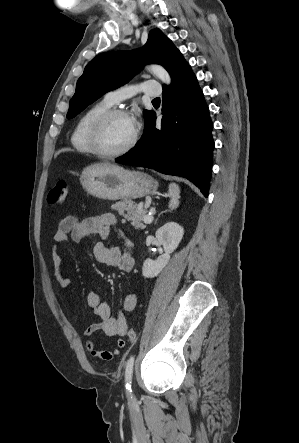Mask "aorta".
<instances>
[{
    "label": "aorta",
    "mask_w": 299,
    "mask_h": 443,
    "mask_svg": "<svg viewBox=\"0 0 299 443\" xmlns=\"http://www.w3.org/2000/svg\"><path fill=\"white\" fill-rule=\"evenodd\" d=\"M147 70L153 73V75H155L163 83L167 85L171 83V79L168 72L160 65H150L147 67Z\"/></svg>",
    "instance_id": "aorta-1"
}]
</instances>
